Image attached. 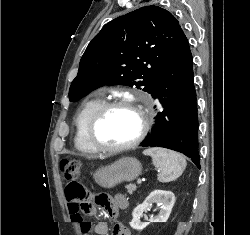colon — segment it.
Returning <instances> with one entry per match:
<instances>
[{
  "mask_svg": "<svg viewBox=\"0 0 250 235\" xmlns=\"http://www.w3.org/2000/svg\"><path fill=\"white\" fill-rule=\"evenodd\" d=\"M60 170L66 185V196L70 201L79 204V209L87 211L91 208L87 202L88 196L84 185L81 183V162L78 159H63L60 162ZM96 203L102 201L101 196H97Z\"/></svg>",
  "mask_w": 250,
  "mask_h": 235,
  "instance_id": "obj_1",
  "label": "colon"
}]
</instances>
